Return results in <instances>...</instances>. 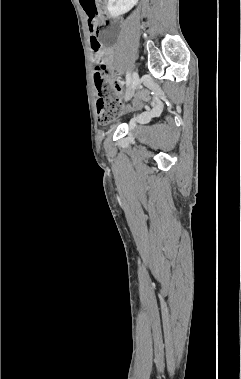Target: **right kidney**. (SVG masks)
<instances>
[{
  "mask_svg": "<svg viewBox=\"0 0 241 379\" xmlns=\"http://www.w3.org/2000/svg\"><path fill=\"white\" fill-rule=\"evenodd\" d=\"M137 2L138 0H108L107 9L109 14L115 18L127 13Z\"/></svg>",
  "mask_w": 241,
  "mask_h": 379,
  "instance_id": "ca27d5eb",
  "label": "right kidney"
}]
</instances>
